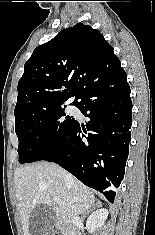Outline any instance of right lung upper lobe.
<instances>
[{"label":"right lung upper lobe","instance_id":"obj_1","mask_svg":"<svg viewBox=\"0 0 155 235\" xmlns=\"http://www.w3.org/2000/svg\"><path fill=\"white\" fill-rule=\"evenodd\" d=\"M123 70L104 36L77 23L38 46L18 82L15 118L22 113L61 106L95 83ZM66 88L61 90V88Z\"/></svg>","mask_w":155,"mask_h":235}]
</instances>
